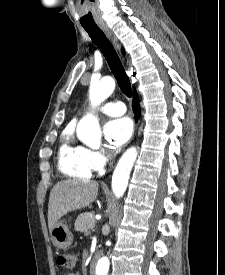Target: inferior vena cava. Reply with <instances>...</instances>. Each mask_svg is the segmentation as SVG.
I'll use <instances>...</instances> for the list:
<instances>
[{
	"instance_id": "1",
	"label": "inferior vena cava",
	"mask_w": 225,
	"mask_h": 275,
	"mask_svg": "<svg viewBox=\"0 0 225 275\" xmlns=\"http://www.w3.org/2000/svg\"><path fill=\"white\" fill-rule=\"evenodd\" d=\"M110 156H111V154H108V156H107V157H108V158H110Z\"/></svg>"
}]
</instances>
